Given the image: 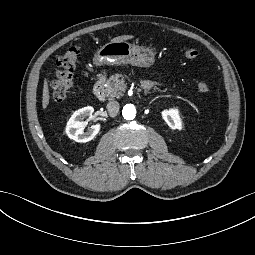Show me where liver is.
<instances>
[{
    "instance_id": "liver-1",
    "label": "liver",
    "mask_w": 255,
    "mask_h": 255,
    "mask_svg": "<svg viewBox=\"0 0 255 255\" xmlns=\"http://www.w3.org/2000/svg\"><path fill=\"white\" fill-rule=\"evenodd\" d=\"M135 38L134 35H121L117 36L115 38H112L110 41L111 42H120V41H127ZM50 88L48 85V78H45L44 80V86H43V94H42V109L46 110L49 102H50Z\"/></svg>"
}]
</instances>
